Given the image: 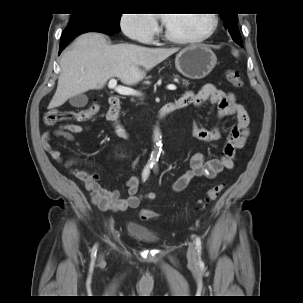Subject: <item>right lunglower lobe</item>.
I'll return each instance as SVG.
<instances>
[{
	"label": "right lung lower lobe",
	"instance_id": "right-lung-lower-lobe-1",
	"mask_svg": "<svg viewBox=\"0 0 303 303\" xmlns=\"http://www.w3.org/2000/svg\"><path fill=\"white\" fill-rule=\"evenodd\" d=\"M120 31V26L107 22H86L66 28L61 37L59 54L78 35L86 32H101L112 35Z\"/></svg>",
	"mask_w": 303,
	"mask_h": 303
}]
</instances>
